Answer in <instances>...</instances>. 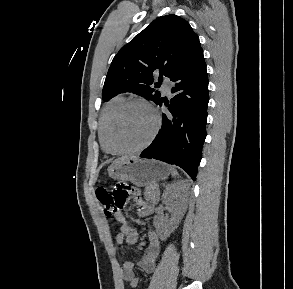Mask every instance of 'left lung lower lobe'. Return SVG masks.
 <instances>
[{
  "label": "left lung lower lobe",
  "mask_w": 293,
  "mask_h": 289,
  "mask_svg": "<svg viewBox=\"0 0 293 289\" xmlns=\"http://www.w3.org/2000/svg\"><path fill=\"white\" fill-rule=\"evenodd\" d=\"M170 103L164 102L169 113L162 115V127L151 145L140 157L154 158L184 169L195 180L206 138L208 77L203 51L176 75Z\"/></svg>",
  "instance_id": "0a47b994"
}]
</instances>
